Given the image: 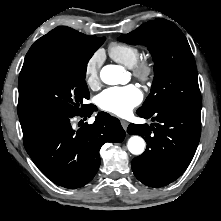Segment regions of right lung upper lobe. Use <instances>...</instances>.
Wrapping results in <instances>:
<instances>
[{
	"mask_svg": "<svg viewBox=\"0 0 221 221\" xmlns=\"http://www.w3.org/2000/svg\"><path fill=\"white\" fill-rule=\"evenodd\" d=\"M102 39L103 37L87 36L69 27L59 26L39 38L31 46L26 54L19 78L33 71L52 57L66 53L74 48L98 45Z\"/></svg>",
	"mask_w": 221,
	"mask_h": 221,
	"instance_id": "1",
	"label": "right lung upper lobe"
}]
</instances>
